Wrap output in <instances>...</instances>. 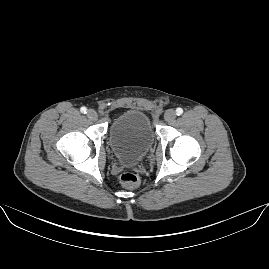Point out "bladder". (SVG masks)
I'll list each match as a JSON object with an SVG mask.
<instances>
[{
	"instance_id": "31cf9c89",
	"label": "bladder",
	"mask_w": 269,
	"mask_h": 269,
	"mask_svg": "<svg viewBox=\"0 0 269 269\" xmlns=\"http://www.w3.org/2000/svg\"><path fill=\"white\" fill-rule=\"evenodd\" d=\"M108 141L120 163H136L146 156L153 146L152 121L140 110H125L112 121Z\"/></svg>"
}]
</instances>
